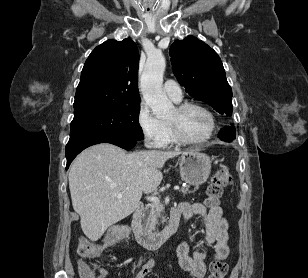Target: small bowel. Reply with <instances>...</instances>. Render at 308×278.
Returning a JSON list of instances; mask_svg holds the SVG:
<instances>
[{
    "instance_id": "obj_1",
    "label": "small bowel",
    "mask_w": 308,
    "mask_h": 278,
    "mask_svg": "<svg viewBox=\"0 0 308 278\" xmlns=\"http://www.w3.org/2000/svg\"><path fill=\"white\" fill-rule=\"evenodd\" d=\"M174 211L178 214L179 218L182 216L185 220H189L194 215L202 217L205 231L198 249L190 253L188 243L183 241L177 247V257L179 265L184 270L190 272L193 278H203L206 273L205 258L207 245H215V256L219 259H226L229 253L227 244L228 223L223 217L222 209L218 205L207 209L203 204L198 202H183ZM153 265V260L147 261L135 278H146L149 276ZM106 275V270L101 269L100 275L96 278H106Z\"/></svg>"
}]
</instances>
